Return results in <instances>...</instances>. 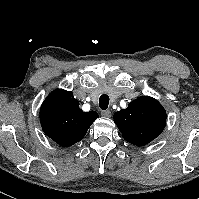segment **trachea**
Wrapping results in <instances>:
<instances>
[{"mask_svg": "<svg viewBox=\"0 0 199 199\" xmlns=\"http://www.w3.org/2000/svg\"><path fill=\"white\" fill-rule=\"evenodd\" d=\"M109 104V96L106 94H103L99 98V106L102 110H106L108 108Z\"/></svg>", "mask_w": 199, "mask_h": 199, "instance_id": "1", "label": "trachea"}]
</instances>
